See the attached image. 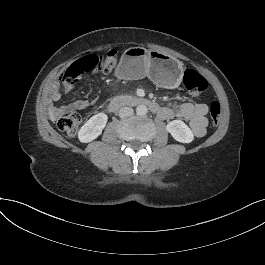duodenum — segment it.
I'll list each match as a JSON object with an SVG mask.
<instances>
[{
  "label": "duodenum",
  "mask_w": 265,
  "mask_h": 265,
  "mask_svg": "<svg viewBox=\"0 0 265 265\" xmlns=\"http://www.w3.org/2000/svg\"><path fill=\"white\" fill-rule=\"evenodd\" d=\"M124 106H146L150 111L161 116L164 113L163 107L157 102L137 96H118L113 98L108 105V109L112 112L117 111Z\"/></svg>",
  "instance_id": "obj_1"
}]
</instances>
